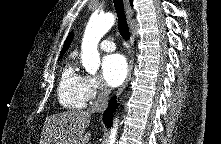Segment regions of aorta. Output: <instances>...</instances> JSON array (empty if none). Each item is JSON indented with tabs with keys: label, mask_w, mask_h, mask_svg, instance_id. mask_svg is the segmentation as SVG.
<instances>
[{
	"label": "aorta",
	"mask_w": 221,
	"mask_h": 144,
	"mask_svg": "<svg viewBox=\"0 0 221 144\" xmlns=\"http://www.w3.org/2000/svg\"><path fill=\"white\" fill-rule=\"evenodd\" d=\"M115 23L112 13L92 16L86 26L81 45V60L84 69L94 75L100 67L98 43L100 39L111 29ZM118 130V121L114 120L110 130L109 144H115Z\"/></svg>",
	"instance_id": "762f6f07"
}]
</instances>
